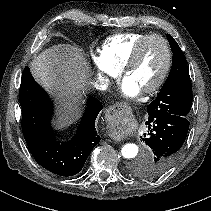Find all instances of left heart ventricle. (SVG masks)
<instances>
[{
  "mask_svg": "<svg viewBox=\"0 0 211 211\" xmlns=\"http://www.w3.org/2000/svg\"><path fill=\"white\" fill-rule=\"evenodd\" d=\"M166 61L163 44L157 40H149L142 48L135 65L130 69L127 77L131 79L141 91L155 84L160 77Z\"/></svg>",
  "mask_w": 211,
  "mask_h": 211,
  "instance_id": "b2bd125f",
  "label": "left heart ventricle"
}]
</instances>
